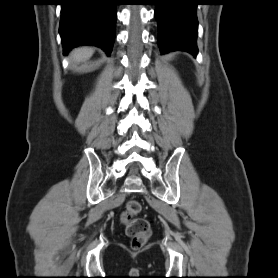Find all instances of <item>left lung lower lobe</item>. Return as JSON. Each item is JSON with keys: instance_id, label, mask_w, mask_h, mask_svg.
Here are the masks:
<instances>
[{"instance_id": "1", "label": "left lung lower lobe", "mask_w": 278, "mask_h": 278, "mask_svg": "<svg viewBox=\"0 0 278 278\" xmlns=\"http://www.w3.org/2000/svg\"><path fill=\"white\" fill-rule=\"evenodd\" d=\"M154 5L160 51H185L195 56L198 0H155Z\"/></svg>"}]
</instances>
